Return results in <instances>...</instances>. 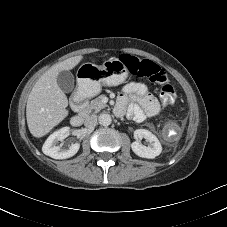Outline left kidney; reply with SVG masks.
<instances>
[{"mask_svg": "<svg viewBox=\"0 0 227 227\" xmlns=\"http://www.w3.org/2000/svg\"><path fill=\"white\" fill-rule=\"evenodd\" d=\"M135 141L131 144L132 151L142 158L153 159L162 152L158 138L149 130L137 129L134 131ZM146 139L150 145L144 146L140 143L141 139Z\"/></svg>", "mask_w": 227, "mask_h": 227, "instance_id": "left-kidney-1", "label": "left kidney"}]
</instances>
